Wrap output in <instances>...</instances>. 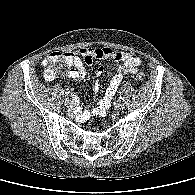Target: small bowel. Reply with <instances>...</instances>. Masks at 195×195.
Returning <instances> with one entry per match:
<instances>
[{"instance_id": "small-bowel-1", "label": "small bowel", "mask_w": 195, "mask_h": 195, "mask_svg": "<svg viewBox=\"0 0 195 195\" xmlns=\"http://www.w3.org/2000/svg\"><path fill=\"white\" fill-rule=\"evenodd\" d=\"M68 57L70 69L67 72L68 78L74 81L83 80L86 77L87 66L99 65L104 61L113 62L111 70L113 75L105 90L104 96L96 101V105L92 109L75 111L77 118L80 121H86L91 116L103 117L106 115L107 110L110 108L112 100L119 88L121 80L125 75L135 74L141 65V59L132 53L127 52H114L110 49H96V48H82L77 51L65 52ZM98 75L104 73L102 66L98 67ZM99 83L94 88V98L98 96Z\"/></svg>"}]
</instances>
